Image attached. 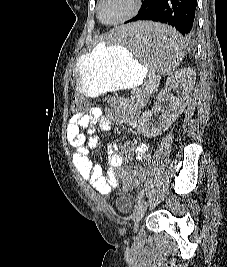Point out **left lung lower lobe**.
Returning <instances> with one entry per match:
<instances>
[{"label": "left lung lower lobe", "instance_id": "left-lung-lower-lobe-1", "mask_svg": "<svg viewBox=\"0 0 227 267\" xmlns=\"http://www.w3.org/2000/svg\"><path fill=\"white\" fill-rule=\"evenodd\" d=\"M197 0H143L139 13L125 23L151 20L168 24L182 35L192 37L196 30ZM154 39L150 43H154Z\"/></svg>", "mask_w": 227, "mask_h": 267}]
</instances>
